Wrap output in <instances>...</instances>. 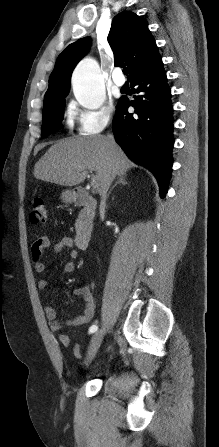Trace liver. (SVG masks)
<instances>
[{"mask_svg":"<svg viewBox=\"0 0 219 447\" xmlns=\"http://www.w3.org/2000/svg\"><path fill=\"white\" fill-rule=\"evenodd\" d=\"M134 164L123 150L103 135L75 137L60 140L52 145L34 167V177L39 180L75 186L87 177V170L96 172L101 194L107 177L114 171L125 174Z\"/></svg>","mask_w":219,"mask_h":447,"instance_id":"liver-1","label":"liver"}]
</instances>
